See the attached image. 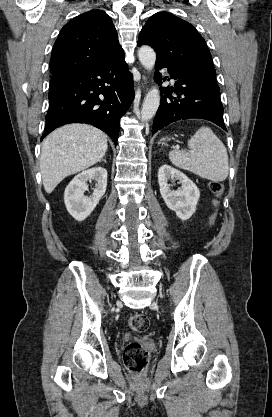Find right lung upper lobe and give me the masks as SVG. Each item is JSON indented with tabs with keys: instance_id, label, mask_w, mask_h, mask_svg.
<instances>
[{
	"instance_id": "right-lung-upper-lobe-1",
	"label": "right lung upper lobe",
	"mask_w": 272,
	"mask_h": 417,
	"mask_svg": "<svg viewBox=\"0 0 272 417\" xmlns=\"http://www.w3.org/2000/svg\"><path fill=\"white\" fill-rule=\"evenodd\" d=\"M121 49L111 18L104 11L91 10L62 28L53 46L50 72L91 69Z\"/></svg>"
}]
</instances>
